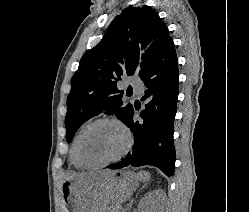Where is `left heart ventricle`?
Instances as JSON below:
<instances>
[{"label": "left heart ventricle", "mask_w": 249, "mask_h": 212, "mask_svg": "<svg viewBox=\"0 0 249 212\" xmlns=\"http://www.w3.org/2000/svg\"><path fill=\"white\" fill-rule=\"evenodd\" d=\"M125 144L121 130L113 124H100L89 130L80 142L81 158L90 164L116 157Z\"/></svg>", "instance_id": "1"}]
</instances>
